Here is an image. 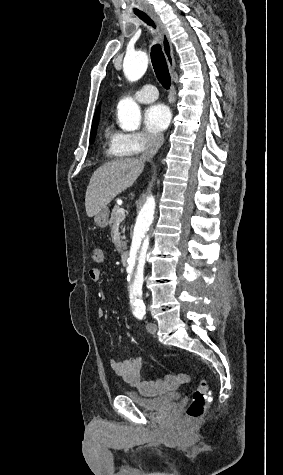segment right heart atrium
Segmentation results:
<instances>
[{"instance_id":"right-heart-atrium-1","label":"right heart atrium","mask_w":283,"mask_h":475,"mask_svg":"<svg viewBox=\"0 0 283 475\" xmlns=\"http://www.w3.org/2000/svg\"><path fill=\"white\" fill-rule=\"evenodd\" d=\"M162 139L159 135L146 131L117 135L113 142V153L117 157L125 158L126 155H146L160 148Z\"/></svg>"}]
</instances>
